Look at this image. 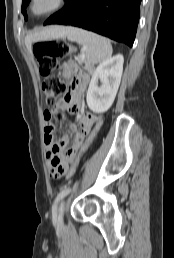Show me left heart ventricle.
Wrapping results in <instances>:
<instances>
[{
    "instance_id": "obj_1",
    "label": "left heart ventricle",
    "mask_w": 174,
    "mask_h": 258,
    "mask_svg": "<svg viewBox=\"0 0 174 258\" xmlns=\"http://www.w3.org/2000/svg\"><path fill=\"white\" fill-rule=\"evenodd\" d=\"M51 1L52 0H41L37 6H36V9L37 10H41V9H44L46 7H48L50 4H51Z\"/></svg>"
}]
</instances>
